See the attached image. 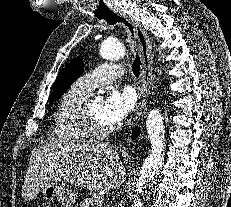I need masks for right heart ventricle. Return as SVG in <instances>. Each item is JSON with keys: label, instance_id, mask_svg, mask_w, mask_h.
I'll return each mask as SVG.
<instances>
[{"label": "right heart ventricle", "instance_id": "1", "mask_svg": "<svg viewBox=\"0 0 231 207\" xmlns=\"http://www.w3.org/2000/svg\"><path fill=\"white\" fill-rule=\"evenodd\" d=\"M89 95L76 84L63 95L54 118L53 134L56 138L67 142H82L92 137L82 117Z\"/></svg>", "mask_w": 231, "mask_h": 207}]
</instances>
